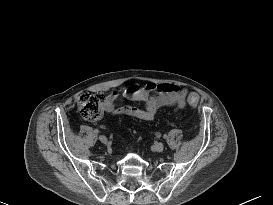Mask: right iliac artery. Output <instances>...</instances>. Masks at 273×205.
<instances>
[{"label": "right iliac artery", "mask_w": 273, "mask_h": 205, "mask_svg": "<svg viewBox=\"0 0 273 205\" xmlns=\"http://www.w3.org/2000/svg\"><path fill=\"white\" fill-rule=\"evenodd\" d=\"M94 132H95L96 134H98L99 131H98V130H95Z\"/></svg>", "instance_id": "right-iliac-artery-1"}]
</instances>
